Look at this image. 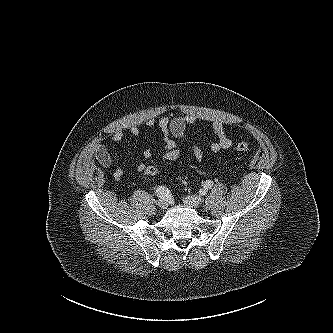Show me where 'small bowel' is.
I'll return each instance as SVG.
<instances>
[{"instance_id":"c3829d8e","label":"small bowel","mask_w":333,"mask_h":333,"mask_svg":"<svg viewBox=\"0 0 333 333\" xmlns=\"http://www.w3.org/2000/svg\"><path fill=\"white\" fill-rule=\"evenodd\" d=\"M197 119L193 115H181V116H162L158 121H148L147 125L152 129H157L161 132L164 140L163 152L175 149L177 142L186 138L187 127L195 126ZM212 130L216 136V140L210 143V150L213 153H220L221 151L230 148L234 144V139L230 137L221 121H214L212 123ZM130 132L133 136L139 134V129L136 126L131 127ZM124 133L121 129L115 131L111 137L113 143H120L123 140ZM193 156L197 163L204 161V152L202 148L196 144L191 147ZM96 160L104 167H108L112 163V157L105 145L99 144L94 150ZM153 155L151 148H146L142 152L144 159H150ZM146 164L139 163L137 170L144 172ZM124 172L121 168H116L113 175L116 179L122 178Z\"/></svg>"}]
</instances>
